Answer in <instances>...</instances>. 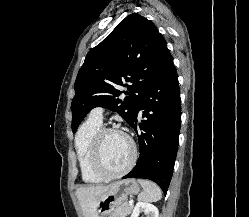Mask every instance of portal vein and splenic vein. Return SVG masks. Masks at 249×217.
Masks as SVG:
<instances>
[{"label": "portal vein and splenic vein", "mask_w": 249, "mask_h": 217, "mask_svg": "<svg viewBox=\"0 0 249 217\" xmlns=\"http://www.w3.org/2000/svg\"><path fill=\"white\" fill-rule=\"evenodd\" d=\"M129 205L130 206L133 205V201L132 200L129 201Z\"/></svg>", "instance_id": "18ae733b"}]
</instances>
